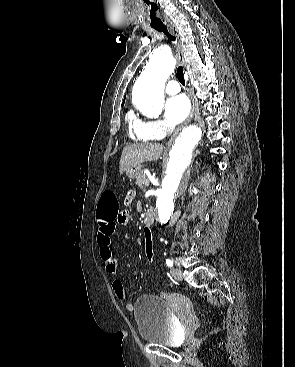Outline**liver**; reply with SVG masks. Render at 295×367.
<instances>
[{
  "mask_svg": "<svg viewBox=\"0 0 295 367\" xmlns=\"http://www.w3.org/2000/svg\"><path fill=\"white\" fill-rule=\"evenodd\" d=\"M163 146L157 143L131 144L124 147L120 158L119 172L123 174L132 166L144 162L157 161L163 151Z\"/></svg>",
  "mask_w": 295,
  "mask_h": 367,
  "instance_id": "liver-1",
  "label": "liver"
}]
</instances>
